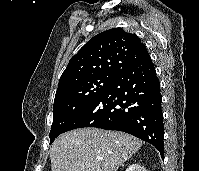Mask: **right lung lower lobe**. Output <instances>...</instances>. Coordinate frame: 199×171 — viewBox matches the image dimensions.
Wrapping results in <instances>:
<instances>
[{
  "label": "right lung lower lobe",
  "instance_id": "obj_1",
  "mask_svg": "<svg viewBox=\"0 0 199 171\" xmlns=\"http://www.w3.org/2000/svg\"><path fill=\"white\" fill-rule=\"evenodd\" d=\"M161 102L160 82L149 57L116 75L63 132L81 127L123 131L152 144L163 157Z\"/></svg>",
  "mask_w": 199,
  "mask_h": 171
}]
</instances>
